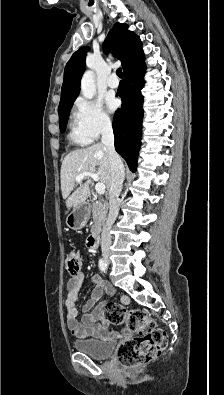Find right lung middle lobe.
I'll use <instances>...</instances> for the list:
<instances>
[{"instance_id": "right-lung-middle-lobe-1", "label": "right lung middle lobe", "mask_w": 224, "mask_h": 395, "mask_svg": "<svg viewBox=\"0 0 224 395\" xmlns=\"http://www.w3.org/2000/svg\"><path fill=\"white\" fill-rule=\"evenodd\" d=\"M74 102V101H73ZM73 102L70 103L68 106L59 109V125L61 132L65 131L66 123L69 117L70 110L72 108Z\"/></svg>"}]
</instances>
